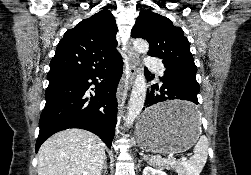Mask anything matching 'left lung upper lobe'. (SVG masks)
<instances>
[{"label":"left lung upper lobe","instance_id":"obj_1","mask_svg":"<svg viewBox=\"0 0 251 175\" xmlns=\"http://www.w3.org/2000/svg\"><path fill=\"white\" fill-rule=\"evenodd\" d=\"M132 37L146 39L150 46L147 54L162 59L164 66L197 72L188 39L167 17L150 10L140 11Z\"/></svg>","mask_w":251,"mask_h":175}]
</instances>
